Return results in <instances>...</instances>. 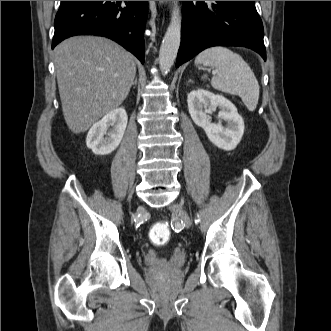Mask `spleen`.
I'll list each match as a JSON object with an SVG mask.
<instances>
[{
	"label": "spleen",
	"instance_id": "obj_1",
	"mask_svg": "<svg viewBox=\"0 0 331 331\" xmlns=\"http://www.w3.org/2000/svg\"><path fill=\"white\" fill-rule=\"evenodd\" d=\"M195 63L215 68L216 75L211 79L214 89L238 95L249 111L256 109L259 84L250 66L239 54L223 46H214L198 54Z\"/></svg>",
	"mask_w": 331,
	"mask_h": 331
}]
</instances>
